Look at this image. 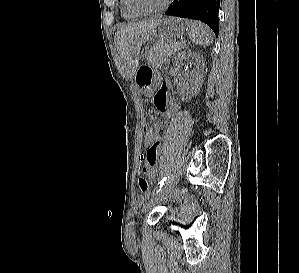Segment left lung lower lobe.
Listing matches in <instances>:
<instances>
[{
	"label": "left lung lower lobe",
	"instance_id": "1",
	"mask_svg": "<svg viewBox=\"0 0 299 273\" xmlns=\"http://www.w3.org/2000/svg\"><path fill=\"white\" fill-rule=\"evenodd\" d=\"M219 6L220 0H174L166 15L200 20L218 36Z\"/></svg>",
	"mask_w": 299,
	"mask_h": 273
}]
</instances>
